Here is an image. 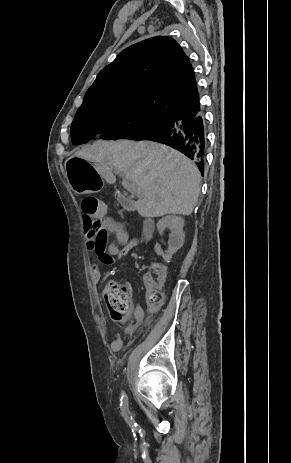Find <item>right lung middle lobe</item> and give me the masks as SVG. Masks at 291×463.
<instances>
[{
  "instance_id": "obj_1",
  "label": "right lung middle lobe",
  "mask_w": 291,
  "mask_h": 463,
  "mask_svg": "<svg viewBox=\"0 0 291 463\" xmlns=\"http://www.w3.org/2000/svg\"><path fill=\"white\" fill-rule=\"evenodd\" d=\"M165 116L147 108L106 104L78 109L71 125L73 144H83L101 135L103 139H131L163 124Z\"/></svg>"
}]
</instances>
